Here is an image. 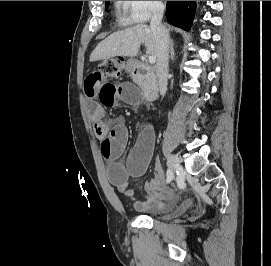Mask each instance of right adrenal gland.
I'll return each instance as SVG.
<instances>
[{
  "instance_id": "obj_1",
  "label": "right adrenal gland",
  "mask_w": 271,
  "mask_h": 266,
  "mask_svg": "<svg viewBox=\"0 0 271 266\" xmlns=\"http://www.w3.org/2000/svg\"><path fill=\"white\" fill-rule=\"evenodd\" d=\"M169 49H170V59H174V48H173V40L171 39L169 41Z\"/></svg>"
}]
</instances>
